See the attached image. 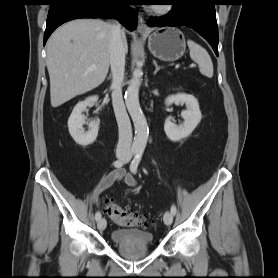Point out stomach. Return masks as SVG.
Listing matches in <instances>:
<instances>
[{
	"mask_svg": "<svg viewBox=\"0 0 278 278\" xmlns=\"http://www.w3.org/2000/svg\"><path fill=\"white\" fill-rule=\"evenodd\" d=\"M148 48L160 60L176 61L185 53V37L179 29L173 27L155 31L148 37Z\"/></svg>",
	"mask_w": 278,
	"mask_h": 278,
	"instance_id": "1",
	"label": "stomach"
}]
</instances>
